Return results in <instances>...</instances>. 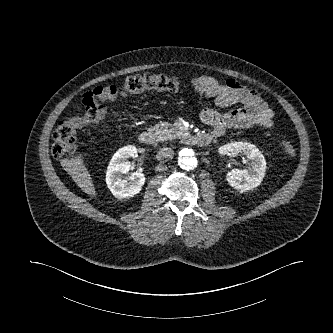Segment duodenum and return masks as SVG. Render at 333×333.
I'll use <instances>...</instances> for the list:
<instances>
[{"label": "duodenum", "mask_w": 333, "mask_h": 333, "mask_svg": "<svg viewBox=\"0 0 333 333\" xmlns=\"http://www.w3.org/2000/svg\"><path fill=\"white\" fill-rule=\"evenodd\" d=\"M154 139H155V134L150 131L142 132L139 135V141L144 145L152 144L154 142ZM185 139L191 145L204 147L207 146L212 141V136L208 133H197V134H188Z\"/></svg>", "instance_id": "duodenum-1"}]
</instances>
